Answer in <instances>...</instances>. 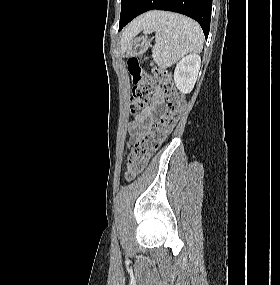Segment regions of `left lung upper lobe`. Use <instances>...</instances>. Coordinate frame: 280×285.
I'll use <instances>...</instances> for the list:
<instances>
[{
	"mask_svg": "<svg viewBox=\"0 0 280 285\" xmlns=\"http://www.w3.org/2000/svg\"><path fill=\"white\" fill-rule=\"evenodd\" d=\"M137 0H122L119 27L126 21Z\"/></svg>",
	"mask_w": 280,
	"mask_h": 285,
	"instance_id": "left-lung-upper-lobe-1",
	"label": "left lung upper lobe"
}]
</instances>
